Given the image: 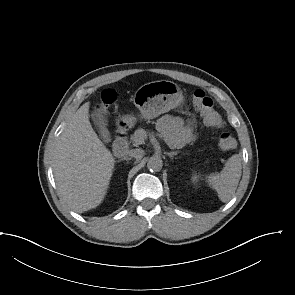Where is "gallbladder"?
<instances>
[{"label": "gallbladder", "instance_id": "gallbladder-1", "mask_svg": "<svg viewBox=\"0 0 295 295\" xmlns=\"http://www.w3.org/2000/svg\"><path fill=\"white\" fill-rule=\"evenodd\" d=\"M105 111L101 107H97L92 111L91 118L94 124L99 128L102 133H106L105 129Z\"/></svg>", "mask_w": 295, "mask_h": 295}]
</instances>
